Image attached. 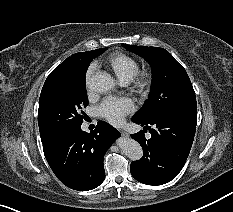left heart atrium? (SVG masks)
<instances>
[{"instance_id": "1", "label": "left heart atrium", "mask_w": 233, "mask_h": 212, "mask_svg": "<svg viewBox=\"0 0 233 212\" xmlns=\"http://www.w3.org/2000/svg\"><path fill=\"white\" fill-rule=\"evenodd\" d=\"M134 111V104L128 98H107L99 106V114L114 125L123 122L126 115Z\"/></svg>"}]
</instances>
